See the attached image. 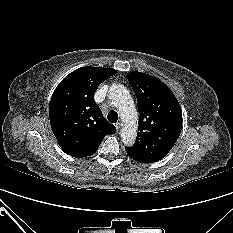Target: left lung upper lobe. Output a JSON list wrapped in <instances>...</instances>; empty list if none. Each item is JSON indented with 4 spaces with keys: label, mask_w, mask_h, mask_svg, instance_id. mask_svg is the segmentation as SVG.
I'll return each instance as SVG.
<instances>
[{
    "label": "left lung upper lobe",
    "mask_w": 233,
    "mask_h": 233,
    "mask_svg": "<svg viewBox=\"0 0 233 233\" xmlns=\"http://www.w3.org/2000/svg\"><path fill=\"white\" fill-rule=\"evenodd\" d=\"M127 79L138 101L136 142L127 154L142 163L156 162L172 149L182 129V111L172 91L158 78L131 72Z\"/></svg>",
    "instance_id": "1"
}]
</instances>
